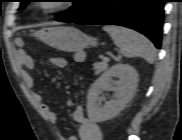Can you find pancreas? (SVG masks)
<instances>
[{
    "mask_svg": "<svg viewBox=\"0 0 182 140\" xmlns=\"http://www.w3.org/2000/svg\"><path fill=\"white\" fill-rule=\"evenodd\" d=\"M108 68L107 62H96L93 65V69L95 74H100L101 72L105 71Z\"/></svg>",
    "mask_w": 182,
    "mask_h": 140,
    "instance_id": "pancreas-1",
    "label": "pancreas"
}]
</instances>
